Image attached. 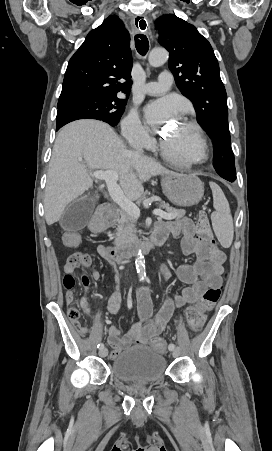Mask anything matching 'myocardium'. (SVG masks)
Wrapping results in <instances>:
<instances>
[{
    "instance_id": "f54148a6",
    "label": "myocardium",
    "mask_w": 272,
    "mask_h": 451,
    "mask_svg": "<svg viewBox=\"0 0 272 451\" xmlns=\"http://www.w3.org/2000/svg\"><path fill=\"white\" fill-rule=\"evenodd\" d=\"M182 124L192 131L195 142V153L191 156H182L178 150H169L167 143L163 141L162 150L164 154L169 156L174 162H185L190 165H200L205 163L209 157L208 148L199 126L188 120H183Z\"/></svg>"
}]
</instances>
